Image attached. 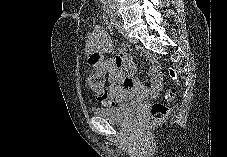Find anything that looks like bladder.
<instances>
[{"mask_svg":"<svg viewBox=\"0 0 227 157\" xmlns=\"http://www.w3.org/2000/svg\"><path fill=\"white\" fill-rule=\"evenodd\" d=\"M92 112L97 117L117 125L126 126L140 118L143 113V106L137 103H130L117 107H95Z\"/></svg>","mask_w":227,"mask_h":157,"instance_id":"bladder-1","label":"bladder"}]
</instances>
